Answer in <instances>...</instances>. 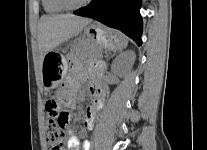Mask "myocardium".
<instances>
[{
	"mask_svg": "<svg viewBox=\"0 0 207 150\" xmlns=\"http://www.w3.org/2000/svg\"><path fill=\"white\" fill-rule=\"evenodd\" d=\"M56 2L66 10H76L89 4L91 0H83L78 4H71L68 0H56Z\"/></svg>",
	"mask_w": 207,
	"mask_h": 150,
	"instance_id": "1",
	"label": "myocardium"
}]
</instances>
